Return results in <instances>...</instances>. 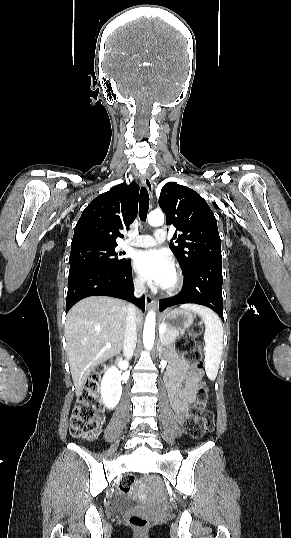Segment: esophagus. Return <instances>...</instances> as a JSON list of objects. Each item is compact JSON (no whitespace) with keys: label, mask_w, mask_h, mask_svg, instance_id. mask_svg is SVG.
Returning <instances> with one entry per match:
<instances>
[{"label":"esophagus","mask_w":291,"mask_h":538,"mask_svg":"<svg viewBox=\"0 0 291 538\" xmlns=\"http://www.w3.org/2000/svg\"><path fill=\"white\" fill-rule=\"evenodd\" d=\"M142 183L145 186V188L147 189V191H148V193L150 195V199H152V197H153V185H152L151 179H150L148 174H146V175H144L142 177ZM145 303H146L147 307H151V306L155 305L156 301L154 300V298L151 295L146 294L145 295Z\"/></svg>","instance_id":"esophagus-1"}]
</instances>
